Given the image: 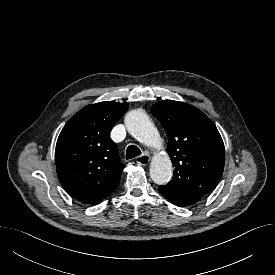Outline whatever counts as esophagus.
Wrapping results in <instances>:
<instances>
[{"label": "esophagus", "instance_id": "1", "mask_svg": "<svg viewBox=\"0 0 275 275\" xmlns=\"http://www.w3.org/2000/svg\"><path fill=\"white\" fill-rule=\"evenodd\" d=\"M136 162L139 165H147L150 162V156L148 154L144 153L136 158Z\"/></svg>", "mask_w": 275, "mask_h": 275}]
</instances>
